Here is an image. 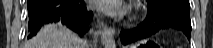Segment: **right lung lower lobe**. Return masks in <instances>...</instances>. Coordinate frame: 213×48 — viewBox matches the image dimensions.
<instances>
[{
    "label": "right lung lower lobe",
    "mask_w": 213,
    "mask_h": 48,
    "mask_svg": "<svg viewBox=\"0 0 213 48\" xmlns=\"http://www.w3.org/2000/svg\"><path fill=\"white\" fill-rule=\"evenodd\" d=\"M27 8L28 38L36 35L43 25L58 21L82 36L93 16L85 8L84 0H28Z\"/></svg>",
    "instance_id": "98d812e1"
}]
</instances>
